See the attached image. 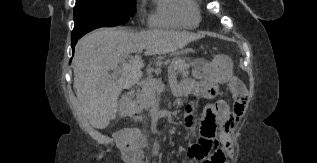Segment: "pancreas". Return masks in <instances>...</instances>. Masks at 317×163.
I'll return each instance as SVG.
<instances>
[{"instance_id": "cf45deb5", "label": "pancreas", "mask_w": 317, "mask_h": 163, "mask_svg": "<svg viewBox=\"0 0 317 163\" xmlns=\"http://www.w3.org/2000/svg\"><path fill=\"white\" fill-rule=\"evenodd\" d=\"M189 66L186 59L175 57L171 61L168 71L174 75L188 76ZM150 80L151 79H146L143 81L142 89L137 91L136 99L126 111V115L131 117L135 122L145 118V116L142 115L143 111H148L156 98L157 91L148 85Z\"/></svg>"}]
</instances>
